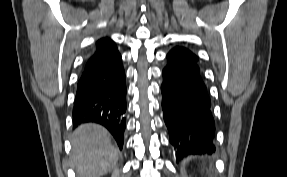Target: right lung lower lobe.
I'll use <instances>...</instances> for the list:
<instances>
[{"mask_svg":"<svg viewBox=\"0 0 287 177\" xmlns=\"http://www.w3.org/2000/svg\"><path fill=\"white\" fill-rule=\"evenodd\" d=\"M125 111L126 84L121 55L111 39L101 38L85 61L77 83L73 125L99 123L109 130L122 149Z\"/></svg>","mask_w":287,"mask_h":177,"instance_id":"right-lung-lower-lobe-1","label":"right lung lower lobe"}]
</instances>
